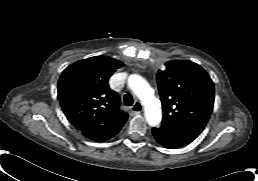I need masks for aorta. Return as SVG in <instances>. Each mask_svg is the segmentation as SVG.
Wrapping results in <instances>:
<instances>
[{"mask_svg":"<svg viewBox=\"0 0 258 181\" xmlns=\"http://www.w3.org/2000/svg\"><path fill=\"white\" fill-rule=\"evenodd\" d=\"M128 86L144 105L147 123L150 126H158L162 119V111L147 81L139 75L132 74L128 78Z\"/></svg>","mask_w":258,"mask_h":181,"instance_id":"aorta-1","label":"aorta"}]
</instances>
